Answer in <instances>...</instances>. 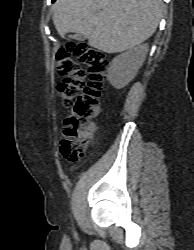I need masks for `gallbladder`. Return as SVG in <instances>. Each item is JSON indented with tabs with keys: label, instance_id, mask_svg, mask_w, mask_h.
Returning a JSON list of instances; mask_svg holds the SVG:
<instances>
[{
	"label": "gallbladder",
	"instance_id": "bac80fb5",
	"mask_svg": "<svg viewBox=\"0 0 194 250\" xmlns=\"http://www.w3.org/2000/svg\"><path fill=\"white\" fill-rule=\"evenodd\" d=\"M69 38H73L79 41H84L87 37L83 34H73V35H69Z\"/></svg>",
	"mask_w": 194,
	"mask_h": 250
}]
</instances>
